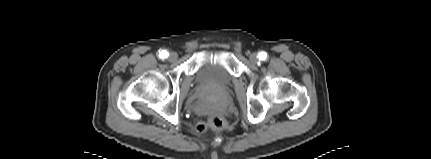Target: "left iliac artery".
Masks as SVG:
<instances>
[{
	"label": "left iliac artery",
	"mask_w": 431,
	"mask_h": 159,
	"mask_svg": "<svg viewBox=\"0 0 431 159\" xmlns=\"http://www.w3.org/2000/svg\"><path fill=\"white\" fill-rule=\"evenodd\" d=\"M258 57L260 60H265L267 58V53L262 51L258 54Z\"/></svg>",
	"instance_id": "1"
}]
</instances>
